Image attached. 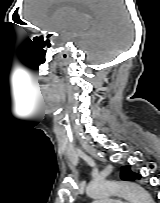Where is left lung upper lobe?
Wrapping results in <instances>:
<instances>
[{"instance_id":"left-lung-upper-lobe-1","label":"left lung upper lobe","mask_w":160,"mask_h":203,"mask_svg":"<svg viewBox=\"0 0 160 203\" xmlns=\"http://www.w3.org/2000/svg\"><path fill=\"white\" fill-rule=\"evenodd\" d=\"M120 177L122 180H134V179H140L141 176L131 172L130 166H123Z\"/></svg>"}]
</instances>
